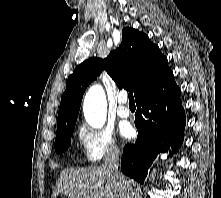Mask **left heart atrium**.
Returning a JSON list of instances; mask_svg holds the SVG:
<instances>
[{"label": "left heart atrium", "mask_w": 221, "mask_h": 198, "mask_svg": "<svg viewBox=\"0 0 221 198\" xmlns=\"http://www.w3.org/2000/svg\"><path fill=\"white\" fill-rule=\"evenodd\" d=\"M121 134H122V136L125 137V138H130V137L133 136L134 130H133V128H132L130 125L126 124V125L123 126V128L121 129Z\"/></svg>", "instance_id": "left-heart-atrium-1"}]
</instances>
